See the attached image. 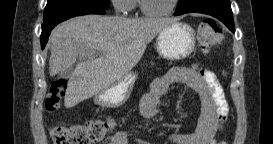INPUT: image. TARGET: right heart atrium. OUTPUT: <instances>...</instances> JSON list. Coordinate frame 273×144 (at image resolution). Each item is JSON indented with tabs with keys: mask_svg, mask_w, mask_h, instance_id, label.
<instances>
[{
	"mask_svg": "<svg viewBox=\"0 0 273 144\" xmlns=\"http://www.w3.org/2000/svg\"><path fill=\"white\" fill-rule=\"evenodd\" d=\"M132 1L133 0H111V4L116 13L126 14L132 10Z\"/></svg>",
	"mask_w": 273,
	"mask_h": 144,
	"instance_id": "obj_1",
	"label": "right heart atrium"
}]
</instances>
